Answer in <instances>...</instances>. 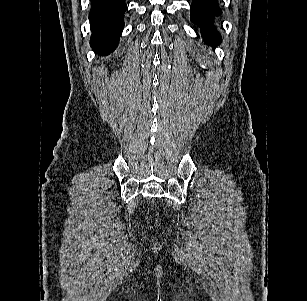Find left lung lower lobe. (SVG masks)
Segmentation results:
<instances>
[{"label":"left lung lower lobe","mask_w":307,"mask_h":301,"mask_svg":"<svg viewBox=\"0 0 307 301\" xmlns=\"http://www.w3.org/2000/svg\"><path fill=\"white\" fill-rule=\"evenodd\" d=\"M190 9L191 21L200 27L204 42L214 48L218 46L222 39L213 21L222 13L218 0H192Z\"/></svg>","instance_id":"0a47b994"}]
</instances>
